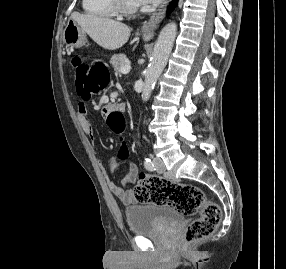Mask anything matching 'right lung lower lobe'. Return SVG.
<instances>
[{"instance_id": "right-lung-lower-lobe-1", "label": "right lung lower lobe", "mask_w": 286, "mask_h": 269, "mask_svg": "<svg viewBox=\"0 0 286 269\" xmlns=\"http://www.w3.org/2000/svg\"><path fill=\"white\" fill-rule=\"evenodd\" d=\"M176 1L177 0H173L172 4L168 8L169 11H171L174 8Z\"/></svg>"}]
</instances>
